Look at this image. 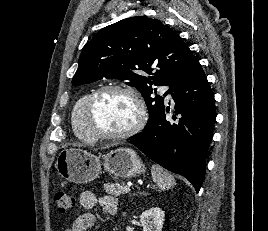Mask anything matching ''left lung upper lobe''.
Here are the masks:
<instances>
[{"instance_id": "1", "label": "left lung upper lobe", "mask_w": 268, "mask_h": 231, "mask_svg": "<svg viewBox=\"0 0 268 231\" xmlns=\"http://www.w3.org/2000/svg\"><path fill=\"white\" fill-rule=\"evenodd\" d=\"M196 60L182 38L160 20L135 16L111 24L94 35L82 50L72 85L103 77L129 81L126 84L139 90L148 107L146 129L164 109L163 97H151L152 85L170 87ZM143 71L153 76H143Z\"/></svg>"}]
</instances>
